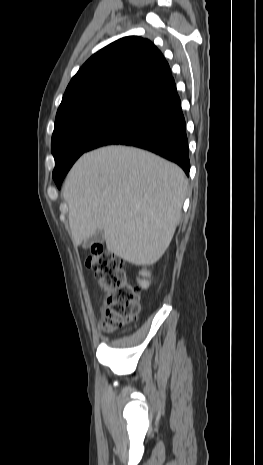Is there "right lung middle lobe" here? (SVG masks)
<instances>
[{"mask_svg":"<svg viewBox=\"0 0 263 465\" xmlns=\"http://www.w3.org/2000/svg\"><path fill=\"white\" fill-rule=\"evenodd\" d=\"M136 98L107 96L89 100L56 116L51 151L55 159L53 179H63L73 163L107 131Z\"/></svg>","mask_w":263,"mask_h":465,"instance_id":"right-lung-middle-lobe-1","label":"right lung middle lobe"}]
</instances>
